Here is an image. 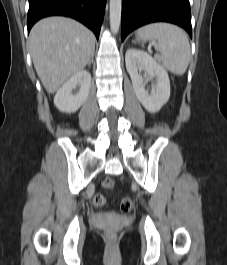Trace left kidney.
<instances>
[{
	"instance_id": "1",
	"label": "left kidney",
	"mask_w": 227,
	"mask_h": 265,
	"mask_svg": "<svg viewBox=\"0 0 227 265\" xmlns=\"http://www.w3.org/2000/svg\"><path fill=\"white\" fill-rule=\"evenodd\" d=\"M127 72L132 80L134 92L150 113L158 112L170 97V81L168 73L163 66L144 51L129 49L125 54ZM139 69H144L148 74V79L156 78L155 92L149 94L144 87V79L139 73Z\"/></svg>"
}]
</instances>
